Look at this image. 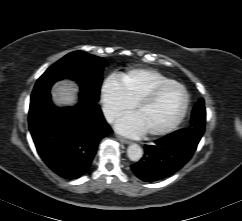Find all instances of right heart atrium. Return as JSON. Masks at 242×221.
Listing matches in <instances>:
<instances>
[{"mask_svg":"<svg viewBox=\"0 0 242 221\" xmlns=\"http://www.w3.org/2000/svg\"><path fill=\"white\" fill-rule=\"evenodd\" d=\"M100 97L103 114L108 122L114 121L133 107L115 78H108L102 83Z\"/></svg>","mask_w":242,"mask_h":221,"instance_id":"d8ad5b80","label":"right heart atrium"}]
</instances>
